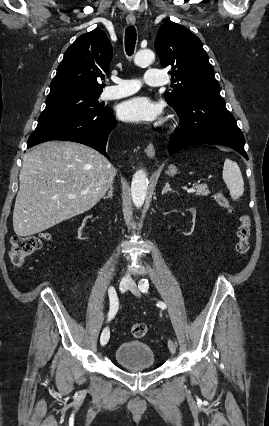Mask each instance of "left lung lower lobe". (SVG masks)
I'll return each instance as SVG.
<instances>
[{
	"instance_id": "obj_1",
	"label": "left lung lower lobe",
	"mask_w": 269,
	"mask_h": 426,
	"mask_svg": "<svg viewBox=\"0 0 269 426\" xmlns=\"http://www.w3.org/2000/svg\"><path fill=\"white\" fill-rule=\"evenodd\" d=\"M174 109L180 117V127L169 138V155L189 146L212 144L228 146L248 159L244 136L220 94H198Z\"/></svg>"
}]
</instances>
